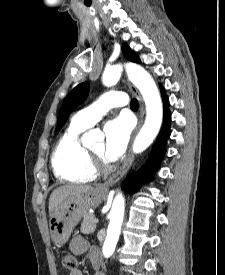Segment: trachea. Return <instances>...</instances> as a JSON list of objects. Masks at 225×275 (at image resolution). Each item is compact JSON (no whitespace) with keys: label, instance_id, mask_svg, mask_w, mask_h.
<instances>
[{"label":"trachea","instance_id":"1","mask_svg":"<svg viewBox=\"0 0 225 275\" xmlns=\"http://www.w3.org/2000/svg\"><path fill=\"white\" fill-rule=\"evenodd\" d=\"M130 107L132 109H137L138 108V101L136 99H133L130 103Z\"/></svg>","mask_w":225,"mask_h":275}]
</instances>
